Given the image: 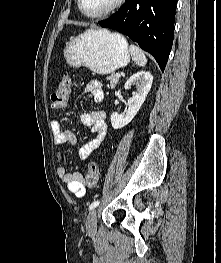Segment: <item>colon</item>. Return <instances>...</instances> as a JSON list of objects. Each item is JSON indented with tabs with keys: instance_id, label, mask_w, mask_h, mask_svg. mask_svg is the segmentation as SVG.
Masks as SVG:
<instances>
[{
	"instance_id": "1",
	"label": "colon",
	"mask_w": 221,
	"mask_h": 263,
	"mask_svg": "<svg viewBox=\"0 0 221 263\" xmlns=\"http://www.w3.org/2000/svg\"><path fill=\"white\" fill-rule=\"evenodd\" d=\"M70 96V81L67 77H63L57 84L55 91L51 95V106L55 109H63L66 107ZM99 179V166L95 162L88 165L85 175V184L89 188L97 185Z\"/></svg>"
}]
</instances>
